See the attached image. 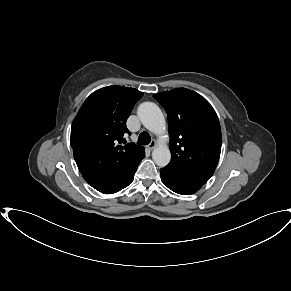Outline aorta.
<instances>
[{
    "label": "aorta",
    "instance_id": "obj_1",
    "mask_svg": "<svg viewBox=\"0 0 291 291\" xmlns=\"http://www.w3.org/2000/svg\"><path fill=\"white\" fill-rule=\"evenodd\" d=\"M137 115L145 128L162 135L165 132V118L161 109L153 102H144L139 105ZM152 158L156 165L165 167L171 159V153L167 145L159 144L152 152Z\"/></svg>",
    "mask_w": 291,
    "mask_h": 291
}]
</instances>
